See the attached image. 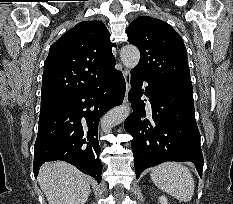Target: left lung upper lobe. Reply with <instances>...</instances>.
I'll use <instances>...</instances> for the list:
<instances>
[{
	"instance_id": "1",
	"label": "left lung upper lobe",
	"mask_w": 233,
	"mask_h": 204,
	"mask_svg": "<svg viewBox=\"0 0 233 204\" xmlns=\"http://www.w3.org/2000/svg\"><path fill=\"white\" fill-rule=\"evenodd\" d=\"M126 34L128 42L140 51V61L131 72L159 84L192 90L183 40L170 25L153 17H138Z\"/></svg>"
}]
</instances>
